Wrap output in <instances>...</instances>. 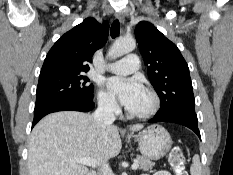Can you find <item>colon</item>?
Returning a JSON list of instances; mask_svg holds the SVG:
<instances>
[{
    "mask_svg": "<svg viewBox=\"0 0 233 175\" xmlns=\"http://www.w3.org/2000/svg\"><path fill=\"white\" fill-rule=\"evenodd\" d=\"M169 164L175 175H188L185 169V156L180 146H175L169 154Z\"/></svg>",
    "mask_w": 233,
    "mask_h": 175,
    "instance_id": "colon-1",
    "label": "colon"
}]
</instances>
